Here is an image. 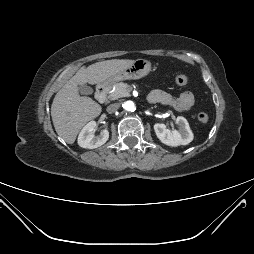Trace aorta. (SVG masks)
Instances as JSON below:
<instances>
[{
	"label": "aorta",
	"instance_id": "obj_1",
	"mask_svg": "<svg viewBox=\"0 0 254 254\" xmlns=\"http://www.w3.org/2000/svg\"><path fill=\"white\" fill-rule=\"evenodd\" d=\"M123 107L127 111H134L135 110V105H134V103L132 101H126L123 104Z\"/></svg>",
	"mask_w": 254,
	"mask_h": 254
}]
</instances>
